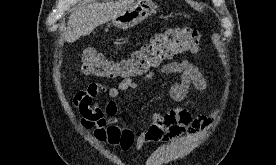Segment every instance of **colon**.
<instances>
[{
	"instance_id": "colon-1",
	"label": "colon",
	"mask_w": 276,
	"mask_h": 165,
	"mask_svg": "<svg viewBox=\"0 0 276 165\" xmlns=\"http://www.w3.org/2000/svg\"><path fill=\"white\" fill-rule=\"evenodd\" d=\"M200 33L190 27L170 28L151 37L149 42L120 61L107 58L94 49L83 51L82 70L96 77L109 79L147 76L166 60L181 52L197 53Z\"/></svg>"
}]
</instances>
